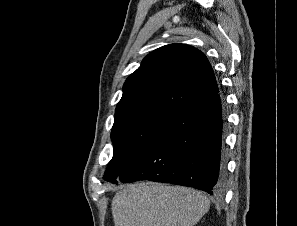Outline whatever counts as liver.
<instances>
[{
	"label": "liver",
	"mask_w": 297,
	"mask_h": 226,
	"mask_svg": "<svg viewBox=\"0 0 297 226\" xmlns=\"http://www.w3.org/2000/svg\"><path fill=\"white\" fill-rule=\"evenodd\" d=\"M111 206L115 226H194L210 201L194 189L142 182L117 192Z\"/></svg>",
	"instance_id": "1"
}]
</instances>
